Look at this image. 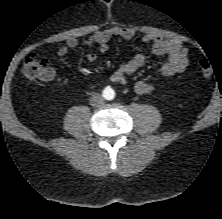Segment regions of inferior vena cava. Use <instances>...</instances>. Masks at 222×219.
Masks as SVG:
<instances>
[{"instance_id": "1", "label": "inferior vena cava", "mask_w": 222, "mask_h": 219, "mask_svg": "<svg viewBox=\"0 0 222 219\" xmlns=\"http://www.w3.org/2000/svg\"><path fill=\"white\" fill-rule=\"evenodd\" d=\"M103 102H104L103 97L97 93L93 94L90 99V104L93 107L101 106L103 104Z\"/></svg>"}]
</instances>
